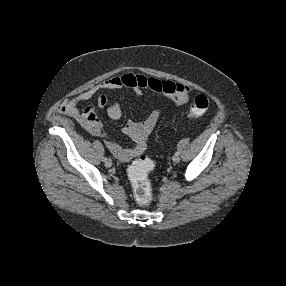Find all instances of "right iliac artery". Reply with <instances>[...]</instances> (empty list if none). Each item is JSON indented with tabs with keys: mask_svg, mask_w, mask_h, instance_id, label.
Returning a JSON list of instances; mask_svg holds the SVG:
<instances>
[{
	"mask_svg": "<svg viewBox=\"0 0 286 286\" xmlns=\"http://www.w3.org/2000/svg\"><path fill=\"white\" fill-rule=\"evenodd\" d=\"M107 160H108V158H107V157H104V158H103V161H104V162H106Z\"/></svg>",
	"mask_w": 286,
	"mask_h": 286,
	"instance_id": "82829eb1",
	"label": "right iliac artery"
}]
</instances>
